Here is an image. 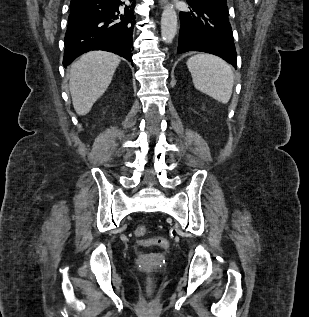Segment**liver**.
Instances as JSON below:
<instances>
[{"label": "liver", "mask_w": 309, "mask_h": 317, "mask_svg": "<svg viewBox=\"0 0 309 317\" xmlns=\"http://www.w3.org/2000/svg\"><path fill=\"white\" fill-rule=\"evenodd\" d=\"M120 57L105 51H91L82 55L70 68L69 88L78 115H86L105 93Z\"/></svg>", "instance_id": "1"}]
</instances>
